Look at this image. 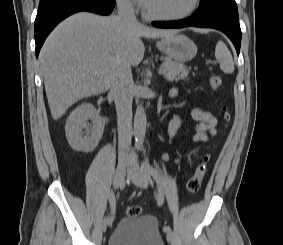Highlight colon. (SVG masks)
<instances>
[{
    "label": "colon",
    "instance_id": "5ec220e1",
    "mask_svg": "<svg viewBox=\"0 0 283 245\" xmlns=\"http://www.w3.org/2000/svg\"><path fill=\"white\" fill-rule=\"evenodd\" d=\"M210 85L214 90L219 89L222 86V78L218 74H213L210 77ZM224 118L226 121L230 120V114L226 107H224ZM210 153H205L201 160L197 163L195 166V170L193 175L190 177V179L187 182V189L191 193H197L199 192L202 182L207 170V164L210 160ZM141 212V209L137 205H132L127 208V214L129 217H136L139 216Z\"/></svg>",
    "mask_w": 283,
    "mask_h": 245
}]
</instances>
